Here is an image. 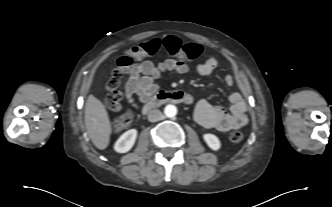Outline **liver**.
I'll use <instances>...</instances> for the list:
<instances>
[{
  "label": "liver",
  "mask_w": 332,
  "mask_h": 207,
  "mask_svg": "<svg viewBox=\"0 0 332 207\" xmlns=\"http://www.w3.org/2000/svg\"><path fill=\"white\" fill-rule=\"evenodd\" d=\"M85 126L96 148H107L112 132L108 112L104 104L90 94L85 105Z\"/></svg>",
  "instance_id": "1"
}]
</instances>
